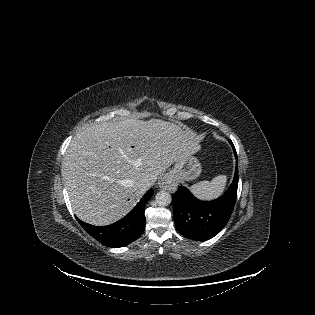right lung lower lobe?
Listing matches in <instances>:
<instances>
[{"instance_id": "98d812e1", "label": "right lung lower lobe", "mask_w": 315, "mask_h": 315, "mask_svg": "<svg viewBox=\"0 0 315 315\" xmlns=\"http://www.w3.org/2000/svg\"><path fill=\"white\" fill-rule=\"evenodd\" d=\"M152 195L151 188L124 218L111 225L99 227L78 221L89 235L103 245L114 248L126 246L143 233L146 222L144 207Z\"/></svg>"}]
</instances>
